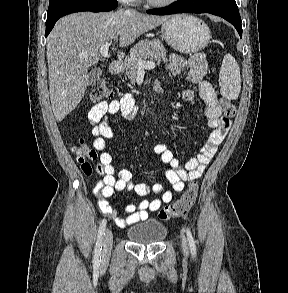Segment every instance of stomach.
<instances>
[{
    "mask_svg": "<svg viewBox=\"0 0 288 293\" xmlns=\"http://www.w3.org/2000/svg\"><path fill=\"white\" fill-rule=\"evenodd\" d=\"M161 32L168 45L181 53L201 51L211 38L204 21L186 14L170 16L162 23Z\"/></svg>",
    "mask_w": 288,
    "mask_h": 293,
    "instance_id": "stomach-1",
    "label": "stomach"
}]
</instances>
